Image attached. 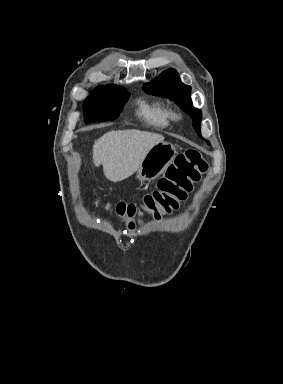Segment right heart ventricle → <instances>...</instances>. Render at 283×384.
Returning <instances> with one entry per match:
<instances>
[{"mask_svg": "<svg viewBox=\"0 0 283 384\" xmlns=\"http://www.w3.org/2000/svg\"><path fill=\"white\" fill-rule=\"evenodd\" d=\"M137 114L151 127L165 129L172 121V111L161 99L141 98L137 102Z\"/></svg>", "mask_w": 283, "mask_h": 384, "instance_id": "e07e8e85", "label": "right heart ventricle"}]
</instances>
